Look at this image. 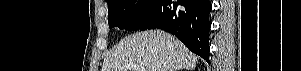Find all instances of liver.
<instances>
[{
	"instance_id": "obj_1",
	"label": "liver",
	"mask_w": 301,
	"mask_h": 71,
	"mask_svg": "<svg viewBox=\"0 0 301 71\" xmlns=\"http://www.w3.org/2000/svg\"><path fill=\"white\" fill-rule=\"evenodd\" d=\"M198 59L171 34L148 30L117 44L105 58L101 71H138L135 66H145L149 71L193 70Z\"/></svg>"
}]
</instances>
